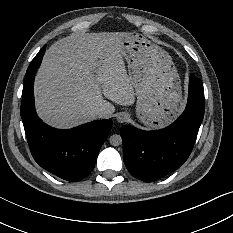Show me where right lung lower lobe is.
I'll list each match as a JSON object with an SVG mask.
<instances>
[{
    "label": "right lung lower lobe",
    "instance_id": "98d812e1",
    "mask_svg": "<svg viewBox=\"0 0 233 233\" xmlns=\"http://www.w3.org/2000/svg\"><path fill=\"white\" fill-rule=\"evenodd\" d=\"M44 46L30 63L20 107L30 151L35 161L61 179L76 182L88 176L107 139L112 120H96L73 129L59 130L43 123L34 106V75L45 53Z\"/></svg>",
    "mask_w": 233,
    "mask_h": 233
}]
</instances>
